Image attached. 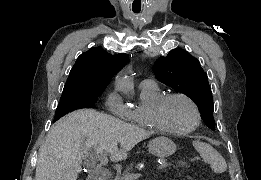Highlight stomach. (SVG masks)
Instances as JSON below:
<instances>
[{"label":"stomach","mask_w":261,"mask_h":180,"mask_svg":"<svg viewBox=\"0 0 261 180\" xmlns=\"http://www.w3.org/2000/svg\"><path fill=\"white\" fill-rule=\"evenodd\" d=\"M149 152L160 158H165L175 153L177 146L167 137H157L148 144Z\"/></svg>","instance_id":"obj_1"}]
</instances>
